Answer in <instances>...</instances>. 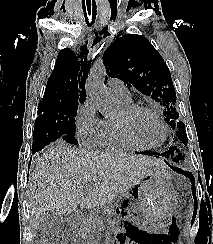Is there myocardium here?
<instances>
[{"label":"myocardium","mask_w":213,"mask_h":244,"mask_svg":"<svg viewBox=\"0 0 213 244\" xmlns=\"http://www.w3.org/2000/svg\"><path fill=\"white\" fill-rule=\"evenodd\" d=\"M124 116L120 119H115V123L117 126V129L121 136L131 144H134L135 146H138L141 149H156L164 144V142L167 139L168 136V129L166 124L164 123L162 117L153 109L147 106L139 105V104H132L130 106H124L122 108ZM139 112H147L154 116L159 124L161 125L163 129V139L161 142L157 145H148L140 141L131 131L129 126V118L133 117Z\"/></svg>","instance_id":"obj_1"}]
</instances>
